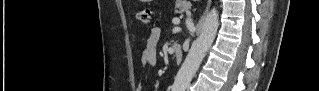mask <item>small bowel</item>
Instances as JSON below:
<instances>
[{"instance_id": "c3829d8e", "label": "small bowel", "mask_w": 319, "mask_h": 91, "mask_svg": "<svg viewBox=\"0 0 319 91\" xmlns=\"http://www.w3.org/2000/svg\"><path fill=\"white\" fill-rule=\"evenodd\" d=\"M161 37V29L155 27L151 30L146 45L141 52V63L147 66L157 64V45Z\"/></svg>"}]
</instances>
